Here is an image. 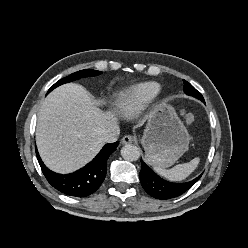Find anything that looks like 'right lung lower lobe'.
<instances>
[{"instance_id": "obj_1", "label": "right lung lower lobe", "mask_w": 248, "mask_h": 248, "mask_svg": "<svg viewBox=\"0 0 248 248\" xmlns=\"http://www.w3.org/2000/svg\"><path fill=\"white\" fill-rule=\"evenodd\" d=\"M119 142L106 144L100 153L85 167L71 174H58L49 170L36 155L47 181L60 192L75 197H86L94 193L105 179L108 157L116 150Z\"/></svg>"}]
</instances>
